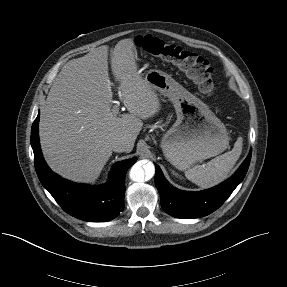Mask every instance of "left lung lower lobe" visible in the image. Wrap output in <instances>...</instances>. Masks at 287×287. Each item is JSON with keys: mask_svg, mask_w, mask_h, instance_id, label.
I'll list each match as a JSON object with an SVG mask.
<instances>
[{"mask_svg": "<svg viewBox=\"0 0 287 287\" xmlns=\"http://www.w3.org/2000/svg\"><path fill=\"white\" fill-rule=\"evenodd\" d=\"M252 150L235 174L223 183L198 192L182 191L174 188L156 166L155 185L161 197V206L169 215L176 218H199L218 209L245 177Z\"/></svg>", "mask_w": 287, "mask_h": 287, "instance_id": "left-lung-lower-lobe-1", "label": "left lung lower lobe"}]
</instances>
